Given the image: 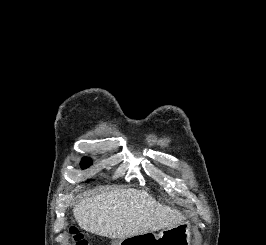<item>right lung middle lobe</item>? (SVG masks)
Wrapping results in <instances>:
<instances>
[{"label":"right lung middle lobe","instance_id":"right-lung-middle-lobe-1","mask_svg":"<svg viewBox=\"0 0 266 245\" xmlns=\"http://www.w3.org/2000/svg\"><path fill=\"white\" fill-rule=\"evenodd\" d=\"M91 164H92V161L88 157H84L80 163L82 169L89 167ZM87 181H89V180H87Z\"/></svg>","mask_w":266,"mask_h":245}]
</instances>
